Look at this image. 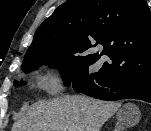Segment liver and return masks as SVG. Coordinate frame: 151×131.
I'll return each mask as SVG.
<instances>
[{"mask_svg":"<svg viewBox=\"0 0 151 131\" xmlns=\"http://www.w3.org/2000/svg\"><path fill=\"white\" fill-rule=\"evenodd\" d=\"M118 108L116 103L82 95L38 101L13 124L12 131H100ZM135 114L139 119V112Z\"/></svg>","mask_w":151,"mask_h":131,"instance_id":"6515ba94","label":"liver"}]
</instances>
